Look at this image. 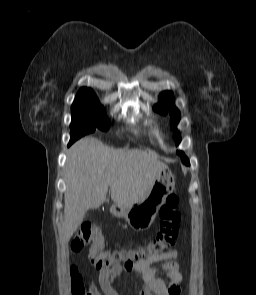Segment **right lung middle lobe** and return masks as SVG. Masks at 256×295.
Returning <instances> with one entry per match:
<instances>
[{
	"label": "right lung middle lobe",
	"instance_id": "right-lung-middle-lobe-1",
	"mask_svg": "<svg viewBox=\"0 0 256 295\" xmlns=\"http://www.w3.org/2000/svg\"><path fill=\"white\" fill-rule=\"evenodd\" d=\"M71 114V139L69 145L82 136L94 132L96 128L107 131L110 127V121L106 116L105 109L100 105L99 101L75 102L72 104Z\"/></svg>",
	"mask_w": 256,
	"mask_h": 295
}]
</instances>
